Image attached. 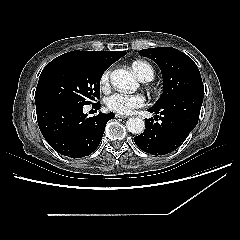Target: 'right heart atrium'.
<instances>
[{
    "mask_svg": "<svg viewBox=\"0 0 240 240\" xmlns=\"http://www.w3.org/2000/svg\"><path fill=\"white\" fill-rule=\"evenodd\" d=\"M110 74L111 68H107L100 77V86L103 90L107 89L110 85Z\"/></svg>",
    "mask_w": 240,
    "mask_h": 240,
    "instance_id": "obj_1",
    "label": "right heart atrium"
}]
</instances>
